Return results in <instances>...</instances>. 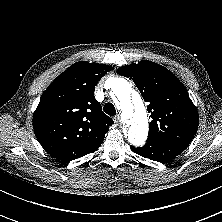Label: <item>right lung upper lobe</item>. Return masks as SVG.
<instances>
[{
  "label": "right lung upper lobe",
  "mask_w": 222,
  "mask_h": 222,
  "mask_svg": "<svg viewBox=\"0 0 222 222\" xmlns=\"http://www.w3.org/2000/svg\"><path fill=\"white\" fill-rule=\"evenodd\" d=\"M112 66L80 61L60 74L42 94L33 128L45 151L63 162L95 152L113 120L93 93Z\"/></svg>",
  "instance_id": "cb5924a9"
}]
</instances>
